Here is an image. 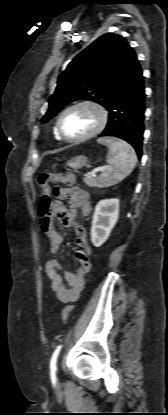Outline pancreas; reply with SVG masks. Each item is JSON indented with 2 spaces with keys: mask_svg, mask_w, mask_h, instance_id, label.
<instances>
[{
  "mask_svg": "<svg viewBox=\"0 0 168 415\" xmlns=\"http://www.w3.org/2000/svg\"><path fill=\"white\" fill-rule=\"evenodd\" d=\"M83 180L89 187H96L97 186V179H95V178H91V177L87 176Z\"/></svg>",
  "mask_w": 168,
  "mask_h": 415,
  "instance_id": "pancreas-1",
  "label": "pancreas"
}]
</instances>
